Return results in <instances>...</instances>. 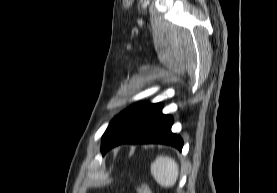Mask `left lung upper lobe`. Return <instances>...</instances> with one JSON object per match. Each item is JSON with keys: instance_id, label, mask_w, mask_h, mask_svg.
<instances>
[{"instance_id": "left-lung-upper-lobe-1", "label": "left lung upper lobe", "mask_w": 277, "mask_h": 193, "mask_svg": "<svg viewBox=\"0 0 277 193\" xmlns=\"http://www.w3.org/2000/svg\"><path fill=\"white\" fill-rule=\"evenodd\" d=\"M114 119H115V118H114ZM111 123H112V122H111ZM111 123L109 124V126L111 125ZM109 126H108V128H109ZM108 128H107V129H108Z\"/></svg>"}]
</instances>
